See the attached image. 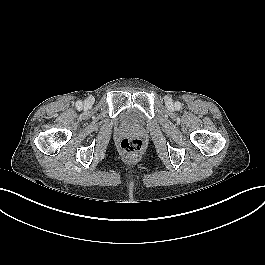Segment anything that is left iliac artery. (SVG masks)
<instances>
[{
    "label": "left iliac artery",
    "mask_w": 265,
    "mask_h": 265,
    "mask_svg": "<svg viewBox=\"0 0 265 265\" xmlns=\"http://www.w3.org/2000/svg\"><path fill=\"white\" fill-rule=\"evenodd\" d=\"M175 108L176 109H180L181 108V103L180 102H176L175 103Z\"/></svg>",
    "instance_id": "obj_1"
}]
</instances>
